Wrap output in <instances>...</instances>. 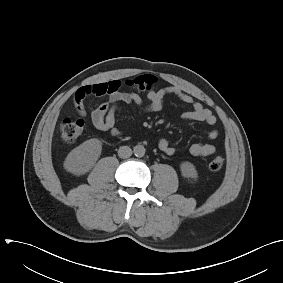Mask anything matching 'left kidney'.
Masks as SVG:
<instances>
[{
    "mask_svg": "<svg viewBox=\"0 0 283 283\" xmlns=\"http://www.w3.org/2000/svg\"><path fill=\"white\" fill-rule=\"evenodd\" d=\"M180 169L182 176L185 178L196 179L198 177V173L195 166L188 161L182 162L180 165Z\"/></svg>",
    "mask_w": 283,
    "mask_h": 283,
    "instance_id": "obj_1",
    "label": "left kidney"
}]
</instances>
